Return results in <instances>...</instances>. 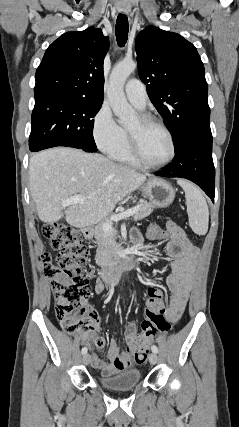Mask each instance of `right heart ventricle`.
<instances>
[{"mask_svg":"<svg viewBox=\"0 0 239 427\" xmlns=\"http://www.w3.org/2000/svg\"><path fill=\"white\" fill-rule=\"evenodd\" d=\"M110 157L117 162L127 164L130 166H138L139 165L133 159V157L130 153L126 132H125V138H124L122 145L119 148H117L113 153H111Z\"/></svg>","mask_w":239,"mask_h":427,"instance_id":"e07e8e85","label":"right heart ventricle"}]
</instances>
